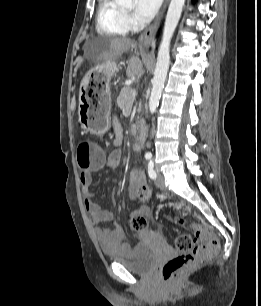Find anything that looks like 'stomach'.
<instances>
[{
  "instance_id": "1",
  "label": "stomach",
  "mask_w": 261,
  "mask_h": 306,
  "mask_svg": "<svg viewBox=\"0 0 261 306\" xmlns=\"http://www.w3.org/2000/svg\"><path fill=\"white\" fill-rule=\"evenodd\" d=\"M106 72L96 77L93 85L87 79L81 85L79 94V122L84 130L93 134H103L110 127L111 92L106 75L115 69V61L103 64Z\"/></svg>"
}]
</instances>
